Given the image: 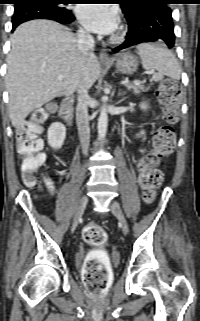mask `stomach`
<instances>
[{"label":"stomach","mask_w":200,"mask_h":321,"mask_svg":"<svg viewBox=\"0 0 200 321\" xmlns=\"http://www.w3.org/2000/svg\"><path fill=\"white\" fill-rule=\"evenodd\" d=\"M138 65V57L130 52L119 54L114 58V66L116 70L124 75H132L135 73L138 69Z\"/></svg>","instance_id":"obj_1"}]
</instances>
